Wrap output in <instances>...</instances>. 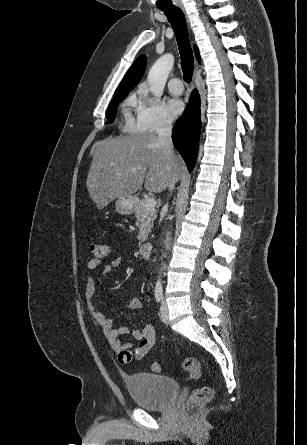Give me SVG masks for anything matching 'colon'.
<instances>
[{
    "mask_svg": "<svg viewBox=\"0 0 307 445\" xmlns=\"http://www.w3.org/2000/svg\"><path fill=\"white\" fill-rule=\"evenodd\" d=\"M90 250L93 253L95 260L99 263L108 258L111 253V247L107 243L91 244ZM182 366L184 371L189 373L193 378L197 379L202 376V370L197 359L188 357L184 359ZM160 368L159 363H154L152 365V369L155 372H159ZM212 396L213 390L210 386L203 385L198 387L192 392L188 406L191 409L201 408L210 402Z\"/></svg>",
    "mask_w": 307,
    "mask_h": 445,
    "instance_id": "5ec220e1",
    "label": "colon"
}]
</instances>
